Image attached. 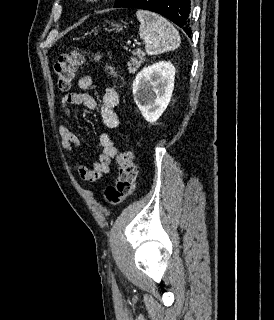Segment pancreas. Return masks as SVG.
Returning a JSON list of instances; mask_svg holds the SVG:
<instances>
[{"instance_id":"pancreas-1","label":"pancreas","mask_w":274,"mask_h":320,"mask_svg":"<svg viewBox=\"0 0 274 320\" xmlns=\"http://www.w3.org/2000/svg\"><path fill=\"white\" fill-rule=\"evenodd\" d=\"M133 56H137V58H131L130 62H128V70L130 74H135L137 72V68H139L142 62H145V52H141V50H137V52H132Z\"/></svg>"}]
</instances>
